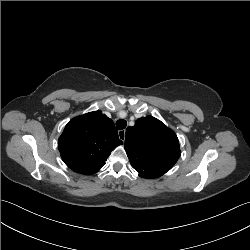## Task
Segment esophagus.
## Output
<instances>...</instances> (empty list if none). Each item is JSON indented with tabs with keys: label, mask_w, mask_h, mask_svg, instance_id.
I'll return each mask as SVG.
<instances>
[{
	"label": "esophagus",
	"mask_w": 250,
	"mask_h": 250,
	"mask_svg": "<svg viewBox=\"0 0 250 250\" xmlns=\"http://www.w3.org/2000/svg\"><path fill=\"white\" fill-rule=\"evenodd\" d=\"M118 136H119V139H121L122 141H125V130L118 131Z\"/></svg>",
	"instance_id": "obj_1"
}]
</instances>
